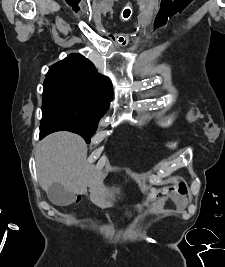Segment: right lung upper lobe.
I'll use <instances>...</instances> for the list:
<instances>
[{"label":"right lung upper lobe","mask_w":225,"mask_h":267,"mask_svg":"<svg viewBox=\"0 0 225 267\" xmlns=\"http://www.w3.org/2000/svg\"><path fill=\"white\" fill-rule=\"evenodd\" d=\"M54 82L82 88L107 107L112 100L110 80L99 74L94 64L80 54H71L49 68L44 83Z\"/></svg>","instance_id":"cb5924a9"}]
</instances>
